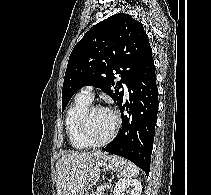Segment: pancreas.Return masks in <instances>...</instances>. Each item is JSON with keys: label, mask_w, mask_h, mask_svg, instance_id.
I'll list each match as a JSON object with an SVG mask.
<instances>
[{"label": "pancreas", "mask_w": 211, "mask_h": 195, "mask_svg": "<svg viewBox=\"0 0 211 195\" xmlns=\"http://www.w3.org/2000/svg\"><path fill=\"white\" fill-rule=\"evenodd\" d=\"M105 189H106L105 185H101L95 191H93L92 194L90 195H103Z\"/></svg>", "instance_id": "1"}]
</instances>
